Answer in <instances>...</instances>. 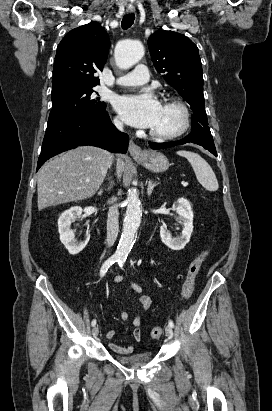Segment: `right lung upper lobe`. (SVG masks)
<instances>
[{
	"mask_svg": "<svg viewBox=\"0 0 272 411\" xmlns=\"http://www.w3.org/2000/svg\"><path fill=\"white\" fill-rule=\"evenodd\" d=\"M109 47L108 34L96 22L71 30L57 48L51 97L99 85L94 73L103 69Z\"/></svg>",
	"mask_w": 272,
	"mask_h": 411,
	"instance_id": "cb5924a9",
	"label": "right lung upper lobe"
}]
</instances>
